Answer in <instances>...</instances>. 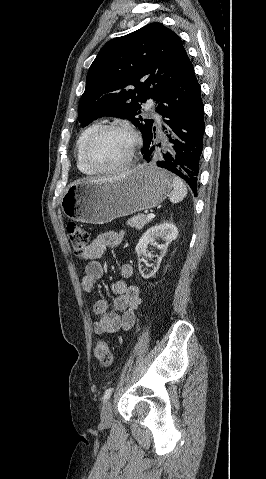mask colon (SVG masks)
Returning a JSON list of instances; mask_svg holds the SVG:
<instances>
[{"mask_svg": "<svg viewBox=\"0 0 266 479\" xmlns=\"http://www.w3.org/2000/svg\"><path fill=\"white\" fill-rule=\"evenodd\" d=\"M66 230L74 253L84 257L89 245V232L75 223H68ZM94 356L103 366H110L113 363V354L104 339L95 341Z\"/></svg>", "mask_w": 266, "mask_h": 479, "instance_id": "1", "label": "colon"}]
</instances>
